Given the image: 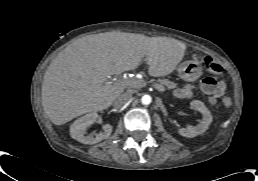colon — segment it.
<instances>
[{"mask_svg": "<svg viewBox=\"0 0 258 181\" xmlns=\"http://www.w3.org/2000/svg\"><path fill=\"white\" fill-rule=\"evenodd\" d=\"M205 67L209 72L214 74H221L223 72V68L212 59H206ZM222 103L225 107L228 108L232 105V99L228 95H226L223 97Z\"/></svg>", "mask_w": 258, "mask_h": 181, "instance_id": "1", "label": "colon"}]
</instances>
